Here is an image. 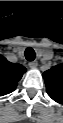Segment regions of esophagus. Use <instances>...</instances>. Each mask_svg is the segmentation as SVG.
<instances>
[{
    "label": "esophagus",
    "mask_w": 63,
    "mask_h": 123,
    "mask_svg": "<svg viewBox=\"0 0 63 123\" xmlns=\"http://www.w3.org/2000/svg\"><path fill=\"white\" fill-rule=\"evenodd\" d=\"M37 65H38V63L36 61H32V62L29 63V67L32 68V69L36 68Z\"/></svg>",
    "instance_id": "34e87169"
}]
</instances>
